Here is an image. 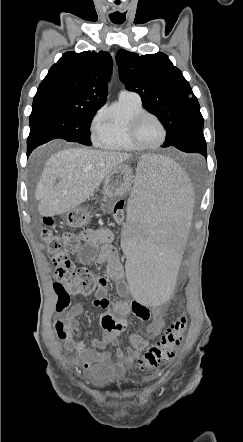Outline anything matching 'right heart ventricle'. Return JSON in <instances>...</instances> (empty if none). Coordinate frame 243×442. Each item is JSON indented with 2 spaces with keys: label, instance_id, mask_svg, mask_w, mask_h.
Listing matches in <instances>:
<instances>
[{
  "label": "right heart ventricle",
  "instance_id": "right-heart-ventricle-1",
  "mask_svg": "<svg viewBox=\"0 0 243 442\" xmlns=\"http://www.w3.org/2000/svg\"><path fill=\"white\" fill-rule=\"evenodd\" d=\"M145 111L141 100L120 99L103 115L102 123L95 132L96 145L110 150L137 151L129 139V125L139 113Z\"/></svg>",
  "mask_w": 243,
  "mask_h": 442
}]
</instances>
